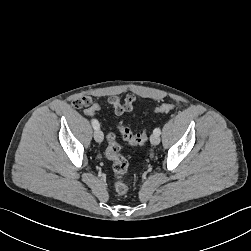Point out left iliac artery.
<instances>
[{"instance_id": "1", "label": "left iliac artery", "mask_w": 251, "mask_h": 251, "mask_svg": "<svg viewBox=\"0 0 251 251\" xmlns=\"http://www.w3.org/2000/svg\"><path fill=\"white\" fill-rule=\"evenodd\" d=\"M154 134L160 135L161 134V130L160 128H155L153 131Z\"/></svg>"}]
</instances>
